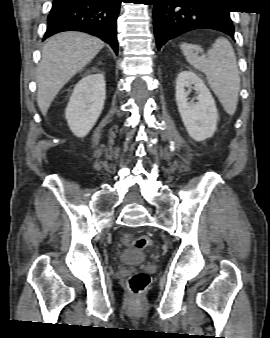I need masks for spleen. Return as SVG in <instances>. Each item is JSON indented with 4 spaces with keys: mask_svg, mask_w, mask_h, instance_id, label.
Instances as JSON below:
<instances>
[{
    "mask_svg": "<svg viewBox=\"0 0 270 338\" xmlns=\"http://www.w3.org/2000/svg\"><path fill=\"white\" fill-rule=\"evenodd\" d=\"M181 50L188 63L206 75L224 110L233 115L238 103L240 76L231 43L223 37L217 38L207 51V56H198L203 49L197 45L182 43Z\"/></svg>",
    "mask_w": 270,
    "mask_h": 338,
    "instance_id": "3e777b00",
    "label": "spleen"
}]
</instances>
